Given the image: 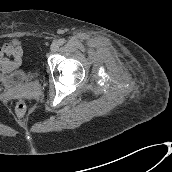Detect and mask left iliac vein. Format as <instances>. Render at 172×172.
Wrapping results in <instances>:
<instances>
[{"label": "left iliac vein", "instance_id": "1", "mask_svg": "<svg viewBox=\"0 0 172 172\" xmlns=\"http://www.w3.org/2000/svg\"><path fill=\"white\" fill-rule=\"evenodd\" d=\"M59 49V43L57 41H54L52 44H51V50L53 52H56L57 50Z\"/></svg>", "mask_w": 172, "mask_h": 172}]
</instances>
